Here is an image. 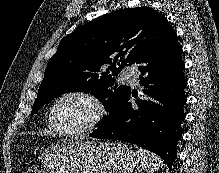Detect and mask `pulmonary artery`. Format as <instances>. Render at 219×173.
Returning a JSON list of instances; mask_svg holds the SVG:
<instances>
[{
  "label": "pulmonary artery",
  "instance_id": "1",
  "mask_svg": "<svg viewBox=\"0 0 219 173\" xmlns=\"http://www.w3.org/2000/svg\"><path fill=\"white\" fill-rule=\"evenodd\" d=\"M121 78L125 79L129 82L132 83H137V75L134 71V69L130 68V67H126L121 71Z\"/></svg>",
  "mask_w": 219,
  "mask_h": 173
}]
</instances>
